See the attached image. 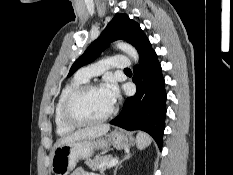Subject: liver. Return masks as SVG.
<instances>
[{
	"label": "liver",
	"mask_w": 233,
	"mask_h": 175,
	"mask_svg": "<svg viewBox=\"0 0 233 175\" xmlns=\"http://www.w3.org/2000/svg\"><path fill=\"white\" fill-rule=\"evenodd\" d=\"M110 129L108 124H100L78 130L58 140L56 147L83 139H95L105 135Z\"/></svg>",
	"instance_id": "obj_1"
}]
</instances>
